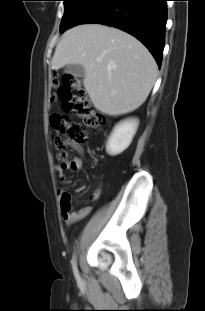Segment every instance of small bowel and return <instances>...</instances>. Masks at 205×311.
I'll return each mask as SVG.
<instances>
[{
  "label": "small bowel",
  "instance_id": "obj_1",
  "mask_svg": "<svg viewBox=\"0 0 205 311\" xmlns=\"http://www.w3.org/2000/svg\"><path fill=\"white\" fill-rule=\"evenodd\" d=\"M82 158L76 156L69 161H66L58 166L57 170L60 175L62 187L57 190L58 197L60 199L61 206V215L62 218L68 224L76 223L85 217H87L92 210V207L89 205H85L80 207L79 209H74L72 205L71 196L66 192L64 186L69 183V180L65 176V172L67 171H79L82 168ZM85 186L79 188V191H84ZM100 196V188H96L90 195L91 200H96Z\"/></svg>",
  "mask_w": 205,
  "mask_h": 311
}]
</instances>
